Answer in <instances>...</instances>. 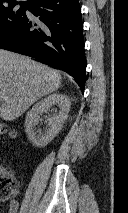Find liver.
<instances>
[{
    "mask_svg": "<svg viewBox=\"0 0 128 213\" xmlns=\"http://www.w3.org/2000/svg\"><path fill=\"white\" fill-rule=\"evenodd\" d=\"M61 84L58 71L29 57L0 49V118L13 121Z\"/></svg>",
    "mask_w": 128,
    "mask_h": 213,
    "instance_id": "6515ba94",
    "label": "liver"
}]
</instances>
